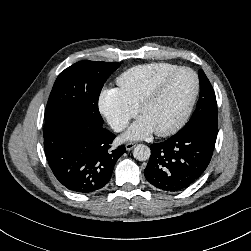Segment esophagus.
I'll return each instance as SVG.
<instances>
[{
	"instance_id": "esophagus-1",
	"label": "esophagus",
	"mask_w": 251,
	"mask_h": 251,
	"mask_svg": "<svg viewBox=\"0 0 251 251\" xmlns=\"http://www.w3.org/2000/svg\"><path fill=\"white\" fill-rule=\"evenodd\" d=\"M135 143H133V142H129V143H127L126 145H125V147H126V150L127 151H130L131 149H133L134 147H135Z\"/></svg>"
}]
</instances>
